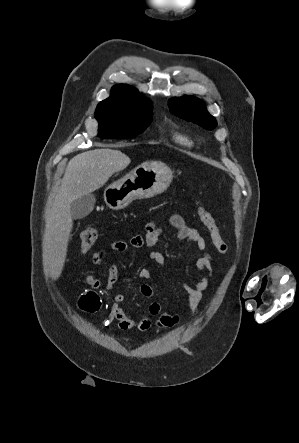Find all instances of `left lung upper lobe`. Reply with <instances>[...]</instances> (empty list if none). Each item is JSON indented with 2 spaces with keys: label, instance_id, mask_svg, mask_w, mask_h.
Returning <instances> with one entry per match:
<instances>
[{
  "label": "left lung upper lobe",
  "instance_id": "5c2ea615",
  "mask_svg": "<svg viewBox=\"0 0 299 443\" xmlns=\"http://www.w3.org/2000/svg\"><path fill=\"white\" fill-rule=\"evenodd\" d=\"M170 112L207 130L216 127V119L206 110L204 102L194 96H182L169 100Z\"/></svg>",
  "mask_w": 299,
  "mask_h": 443
}]
</instances>
